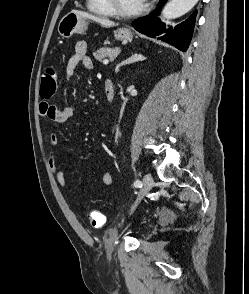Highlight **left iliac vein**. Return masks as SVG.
Returning a JSON list of instances; mask_svg holds the SVG:
<instances>
[{"mask_svg":"<svg viewBox=\"0 0 249 294\" xmlns=\"http://www.w3.org/2000/svg\"><path fill=\"white\" fill-rule=\"evenodd\" d=\"M153 187V178L150 174H146L143 178V187L140 191L138 201H140Z\"/></svg>","mask_w":249,"mask_h":294,"instance_id":"1","label":"left iliac vein"}]
</instances>
